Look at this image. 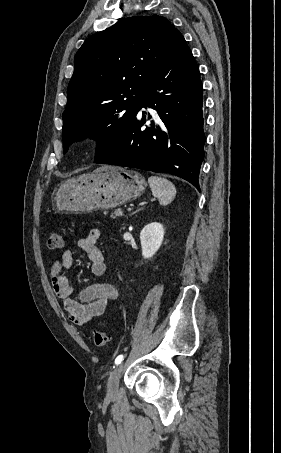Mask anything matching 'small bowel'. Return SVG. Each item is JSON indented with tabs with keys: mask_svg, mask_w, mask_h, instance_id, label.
I'll return each mask as SVG.
<instances>
[{
	"mask_svg": "<svg viewBox=\"0 0 281 453\" xmlns=\"http://www.w3.org/2000/svg\"><path fill=\"white\" fill-rule=\"evenodd\" d=\"M100 235L99 228H93L86 237L78 241L80 251L86 253L90 259L89 272L95 277L106 273L104 255L96 245ZM73 268V253L65 251L61 259L53 263L49 277L54 284L55 293L63 300L64 310L70 320L76 325L84 326L102 315L107 306L119 298V292L112 285H94L82 288L77 298H72L71 285L64 271H71Z\"/></svg>",
	"mask_w": 281,
	"mask_h": 453,
	"instance_id": "small-bowel-1",
	"label": "small bowel"
}]
</instances>
